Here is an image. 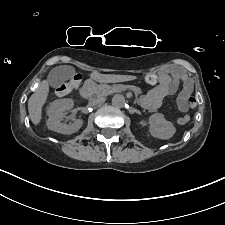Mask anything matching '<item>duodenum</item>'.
<instances>
[{
  "mask_svg": "<svg viewBox=\"0 0 225 225\" xmlns=\"http://www.w3.org/2000/svg\"><path fill=\"white\" fill-rule=\"evenodd\" d=\"M91 89H92V84L89 83L86 87V90H85V95L88 96L91 92Z\"/></svg>",
  "mask_w": 225,
  "mask_h": 225,
  "instance_id": "duodenum-1",
  "label": "duodenum"
}]
</instances>
